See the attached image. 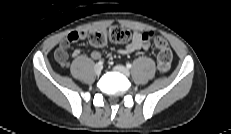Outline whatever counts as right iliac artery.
Here are the masks:
<instances>
[{"mask_svg": "<svg viewBox=\"0 0 231 134\" xmlns=\"http://www.w3.org/2000/svg\"><path fill=\"white\" fill-rule=\"evenodd\" d=\"M97 64L100 65V66H102V65H103V62H102V61H99Z\"/></svg>", "mask_w": 231, "mask_h": 134, "instance_id": "82829eb1", "label": "right iliac artery"}]
</instances>
